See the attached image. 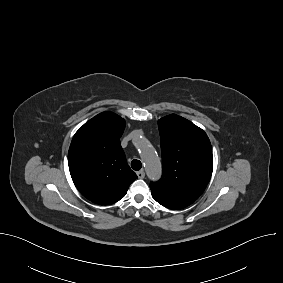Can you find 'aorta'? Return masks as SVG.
Returning <instances> with one entry per match:
<instances>
[{"instance_id":"1","label":"aorta","mask_w":283,"mask_h":283,"mask_svg":"<svg viewBox=\"0 0 283 283\" xmlns=\"http://www.w3.org/2000/svg\"><path fill=\"white\" fill-rule=\"evenodd\" d=\"M137 147L141 150V157L145 164L148 178L152 181H157L161 176V165L156 152L148 145L145 139H138Z\"/></svg>"}]
</instances>
